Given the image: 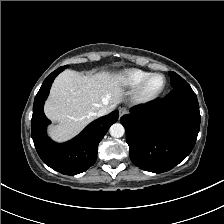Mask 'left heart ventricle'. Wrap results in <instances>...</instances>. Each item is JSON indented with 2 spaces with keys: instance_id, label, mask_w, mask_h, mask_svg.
I'll return each instance as SVG.
<instances>
[{
  "instance_id": "b2bd125f",
  "label": "left heart ventricle",
  "mask_w": 224,
  "mask_h": 224,
  "mask_svg": "<svg viewBox=\"0 0 224 224\" xmlns=\"http://www.w3.org/2000/svg\"><path fill=\"white\" fill-rule=\"evenodd\" d=\"M165 80L161 75L153 76L147 83L145 91L147 94H154L162 89Z\"/></svg>"
}]
</instances>
